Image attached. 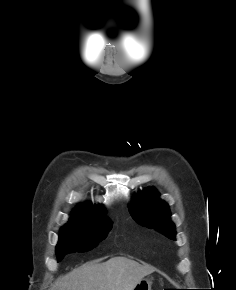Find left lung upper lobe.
<instances>
[{
	"instance_id": "1",
	"label": "left lung upper lobe",
	"mask_w": 236,
	"mask_h": 290,
	"mask_svg": "<svg viewBox=\"0 0 236 290\" xmlns=\"http://www.w3.org/2000/svg\"><path fill=\"white\" fill-rule=\"evenodd\" d=\"M132 217L140 224L158 231L175 240V226L170 221L168 205L159 198L154 188L139 193L130 206Z\"/></svg>"
}]
</instances>
